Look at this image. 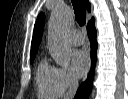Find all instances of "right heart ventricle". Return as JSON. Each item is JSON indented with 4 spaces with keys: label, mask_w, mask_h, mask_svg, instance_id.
<instances>
[{
    "label": "right heart ventricle",
    "mask_w": 128,
    "mask_h": 99,
    "mask_svg": "<svg viewBox=\"0 0 128 99\" xmlns=\"http://www.w3.org/2000/svg\"><path fill=\"white\" fill-rule=\"evenodd\" d=\"M36 89L39 98L54 99L63 94L58 79L56 67L42 60L36 73Z\"/></svg>",
    "instance_id": "right-heart-ventricle-1"
}]
</instances>
